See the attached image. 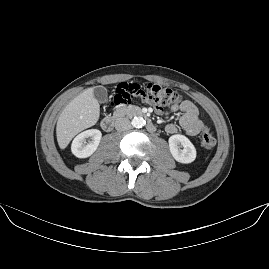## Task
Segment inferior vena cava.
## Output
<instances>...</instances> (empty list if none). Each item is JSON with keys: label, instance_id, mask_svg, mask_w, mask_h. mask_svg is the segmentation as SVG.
Listing matches in <instances>:
<instances>
[{"label": "inferior vena cava", "instance_id": "602c4592", "mask_svg": "<svg viewBox=\"0 0 269 269\" xmlns=\"http://www.w3.org/2000/svg\"><path fill=\"white\" fill-rule=\"evenodd\" d=\"M114 127L117 131L121 132L130 129L131 125L127 118H117Z\"/></svg>", "mask_w": 269, "mask_h": 269}]
</instances>
